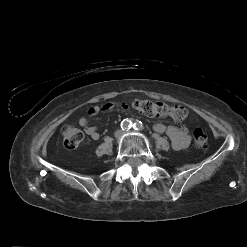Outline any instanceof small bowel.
Here are the masks:
<instances>
[{
	"label": "small bowel",
	"mask_w": 247,
	"mask_h": 247,
	"mask_svg": "<svg viewBox=\"0 0 247 247\" xmlns=\"http://www.w3.org/2000/svg\"><path fill=\"white\" fill-rule=\"evenodd\" d=\"M114 107L113 104L109 103L103 107L93 106L89 108L88 115L90 117L97 115L100 111L109 110ZM124 109H127L125 105L122 106ZM80 126L84 129L85 133L92 138L93 140H98L100 135L95 126L90 124L89 117H82L79 120ZM154 130L161 134H166L172 143V147L175 150H182L188 147L190 144L191 138L188 133V129L185 126H174V125H164L162 123H156L154 125Z\"/></svg>",
	"instance_id": "obj_1"
}]
</instances>
